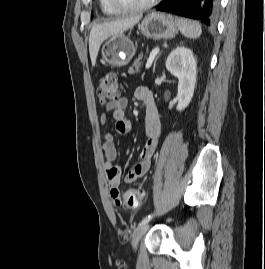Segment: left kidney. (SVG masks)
Wrapping results in <instances>:
<instances>
[{
    "instance_id": "1",
    "label": "left kidney",
    "mask_w": 265,
    "mask_h": 269,
    "mask_svg": "<svg viewBox=\"0 0 265 269\" xmlns=\"http://www.w3.org/2000/svg\"><path fill=\"white\" fill-rule=\"evenodd\" d=\"M166 69L179 80L177 110L182 111L191 102L196 85V61L193 52L184 46H178L168 56Z\"/></svg>"
}]
</instances>
